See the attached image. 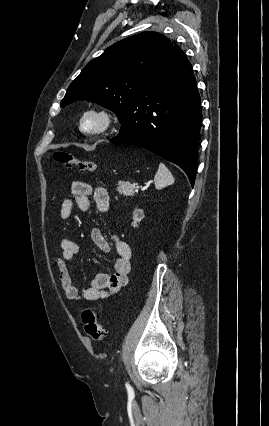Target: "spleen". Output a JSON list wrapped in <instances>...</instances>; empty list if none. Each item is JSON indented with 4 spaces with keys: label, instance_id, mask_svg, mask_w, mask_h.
Returning <instances> with one entry per match:
<instances>
[{
    "label": "spleen",
    "instance_id": "spleen-1",
    "mask_svg": "<svg viewBox=\"0 0 269 426\" xmlns=\"http://www.w3.org/2000/svg\"><path fill=\"white\" fill-rule=\"evenodd\" d=\"M154 181H155V188L162 189L168 185L173 184L174 177L172 176L168 168L163 163H160L158 171L155 175Z\"/></svg>",
    "mask_w": 269,
    "mask_h": 426
}]
</instances>
